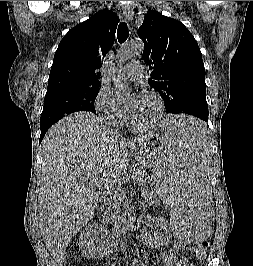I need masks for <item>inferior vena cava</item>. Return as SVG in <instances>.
Returning <instances> with one entry per match:
<instances>
[{
	"mask_svg": "<svg viewBox=\"0 0 253 266\" xmlns=\"http://www.w3.org/2000/svg\"><path fill=\"white\" fill-rule=\"evenodd\" d=\"M111 133H112V134L114 133L113 130H111Z\"/></svg>",
	"mask_w": 253,
	"mask_h": 266,
	"instance_id": "inferior-vena-cava-1",
	"label": "inferior vena cava"
}]
</instances>
